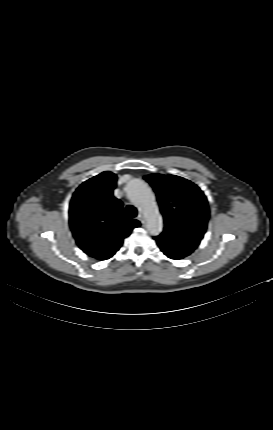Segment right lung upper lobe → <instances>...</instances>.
<instances>
[{"mask_svg":"<svg viewBox=\"0 0 273 430\" xmlns=\"http://www.w3.org/2000/svg\"><path fill=\"white\" fill-rule=\"evenodd\" d=\"M116 174L103 172L83 182L72 196L69 223L78 246L99 260L112 257L131 230L140 226L123 218V204L113 196Z\"/></svg>","mask_w":273,"mask_h":430,"instance_id":"right-lung-upper-lobe-1","label":"right lung upper lobe"}]
</instances>
